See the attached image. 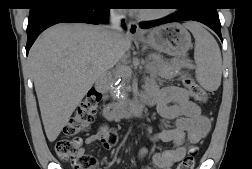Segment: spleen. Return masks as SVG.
<instances>
[{
	"mask_svg": "<svg viewBox=\"0 0 252 169\" xmlns=\"http://www.w3.org/2000/svg\"><path fill=\"white\" fill-rule=\"evenodd\" d=\"M186 27L195 38L196 80L205 90L216 91L221 85L222 77V58L218 43L200 24L189 22Z\"/></svg>",
	"mask_w": 252,
	"mask_h": 169,
	"instance_id": "1",
	"label": "spleen"
}]
</instances>
